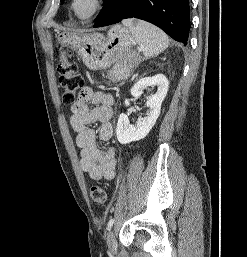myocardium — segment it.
I'll use <instances>...</instances> for the list:
<instances>
[{
    "mask_svg": "<svg viewBox=\"0 0 247 257\" xmlns=\"http://www.w3.org/2000/svg\"><path fill=\"white\" fill-rule=\"evenodd\" d=\"M77 2L78 0H70L69 11L71 15L82 24L91 22L94 17L102 10L105 4V0H91L92 6L90 10L86 14L81 15L77 12L75 7Z\"/></svg>",
    "mask_w": 247,
    "mask_h": 257,
    "instance_id": "obj_1",
    "label": "myocardium"
}]
</instances>
